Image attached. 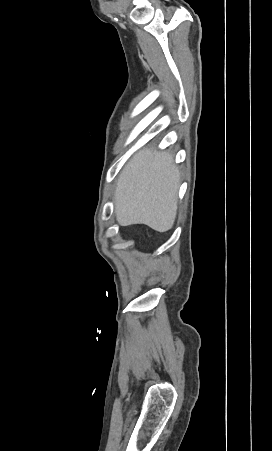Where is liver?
<instances>
[{
    "label": "liver",
    "mask_w": 272,
    "mask_h": 451,
    "mask_svg": "<svg viewBox=\"0 0 272 451\" xmlns=\"http://www.w3.org/2000/svg\"><path fill=\"white\" fill-rule=\"evenodd\" d=\"M180 174L167 152L140 150L125 168L114 194L116 220L121 226L146 224L168 231L175 222Z\"/></svg>",
    "instance_id": "1"
}]
</instances>
